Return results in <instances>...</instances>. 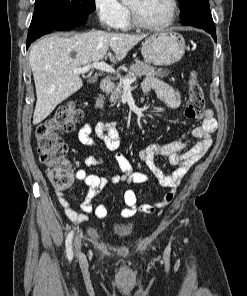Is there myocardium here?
<instances>
[{
	"mask_svg": "<svg viewBox=\"0 0 247 296\" xmlns=\"http://www.w3.org/2000/svg\"><path fill=\"white\" fill-rule=\"evenodd\" d=\"M168 3L170 6L169 15H168L167 19L160 24H148V23L141 21L137 15L136 11L130 5H128L131 22L133 23L134 26H136L140 29L150 30V31H160V30L168 28L175 21L177 11H178L177 0H168Z\"/></svg>",
	"mask_w": 247,
	"mask_h": 296,
	"instance_id": "1",
	"label": "myocardium"
}]
</instances>
